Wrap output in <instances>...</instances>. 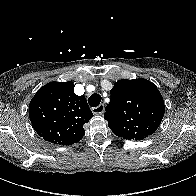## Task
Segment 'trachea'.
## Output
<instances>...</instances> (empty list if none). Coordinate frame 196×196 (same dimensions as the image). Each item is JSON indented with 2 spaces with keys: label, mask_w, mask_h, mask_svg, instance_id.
I'll use <instances>...</instances> for the list:
<instances>
[{
  "label": "trachea",
  "mask_w": 196,
  "mask_h": 196,
  "mask_svg": "<svg viewBox=\"0 0 196 196\" xmlns=\"http://www.w3.org/2000/svg\"><path fill=\"white\" fill-rule=\"evenodd\" d=\"M101 96L100 94L94 93L92 94L89 98H88V103L90 104V106L92 107H97L100 102H101Z\"/></svg>",
  "instance_id": "obj_1"
}]
</instances>
